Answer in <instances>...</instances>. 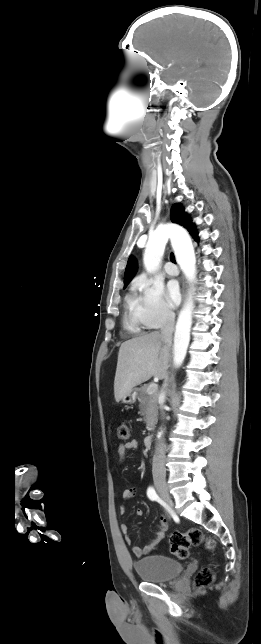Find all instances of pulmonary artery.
<instances>
[{
	"mask_svg": "<svg viewBox=\"0 0 261 644\" xmlns=\"http://www.w3.org/2000/svg\"><path fill=\"white\" fill-rule=\"evenodd\" d=\"M164 268H165V271H166V273L168 275H170V276L178 275V272H179L178 268L173 263H171V262L166 263Z\"/></svg>",
	"mask_w": 261,
	"mask_h": 644,
	"instance_id": "pulmonary-artery-1",
	"label": "pulmonary artery"
}]
</instances>
